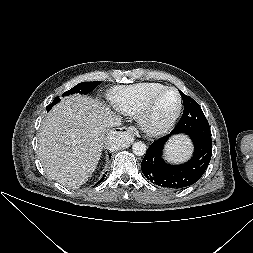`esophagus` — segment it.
<instances>
[{"instance_id": "obj_1", "label": "esophagus", "mask_w": 253, "mask_h": 253, "mask_svg": "<svg viewBox=\"0 0 253 253\" xmlns=\"http://www.w3.org/2000/svg\"><path fill=\"white\" fill-rule=\"evenodd\" d=\"M117 134H128L131 138H134L135 133L132 128H118L117 131H115Z\"/></svg>"}]
</instances>
